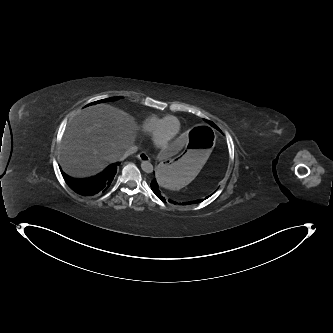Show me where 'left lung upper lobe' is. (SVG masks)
I'll list each match as a JSON object with an SVG mask.
<instances>
[{
    "label": "left lung upper lobe",
    "instance_id": "5c2ea615",
    "mask_svg": "<svg viewBox=\"0 0 333 333\" xmlns=\"http://www.w3.org/2000/svg\"><path fill=\"white\" fill-rule=\"evenodd\" d=\"M207 122H208L211 126L217 128V126H216L214 123H212V122H210V121H207Z\"/></svg>",
    "mask_w": 333,
    "mask_h": 333
}]
</instances>
